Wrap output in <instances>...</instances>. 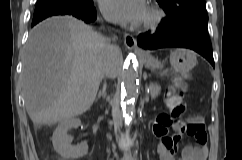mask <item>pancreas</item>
I'll return each mask as SVG.
<instances>
[{
    "instance_id": "1",
    "label": "pancreas",
    "mask_w": 242,
    "mask_h": 160,
    "mask_svg": "<svg viewBox=\"0 0 242 160\" xmlns=\"http://www.w3.org/2000/svg\"><path fill=\"white\" fill-rule=\"evenodd\" d=\"M150 89V95L152 98H155L159 93H160V86L157 84H150L149 86Z\"/></svg>"
}]
</instances>
